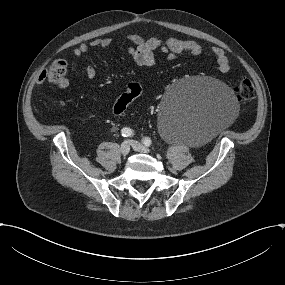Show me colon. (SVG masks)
Masks as SVG:
<instances>
[{
  "mask_svg": "<svg viewBox=\"0 0 285 285\" xmlns=\"http://www.w3.org/2000/svg\"><path fill=\"white\" fill-rule=\"evenodd\" d=\"M66 71V63L62 59L56 60L50 67L47 76L51 82L57 83L63 78ZM142 92V87L137 82H130L126 85L125 92L117 99L113 106V113L121 115L126 108L134 101ZM236 95L241 103L251 101L255 97V87L248 80H242L236 88Z\"/></svg>",
  "mask_w": 285,
  "mask_h": 285,
  "instance_id": "obj_1",
  "label": "colon"
}]
</instances>
